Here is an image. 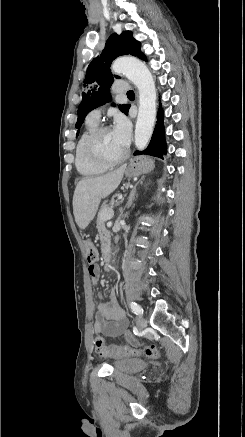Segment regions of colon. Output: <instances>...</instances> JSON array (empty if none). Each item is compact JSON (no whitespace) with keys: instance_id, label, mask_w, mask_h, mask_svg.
<instances>
[{"instance_id":"colon-1","label":"colon","mask_w":245,"mask_h":437,"mask_svg":"<svg viewBox=\"0 0 245 437\" xmlns=\"http://www.w3.org/2000/svg\"><path fill=\"white\" fill-rule=\"evenodd\" d=\"M86 259L89 263V272H93L95 269V263L97 260V250L91 242L86 243ZM95 350L100 355H116L122 357L139 356L144 355L149 358H159L161 351L159 347L155 345H148L144 347L136 346H115L106 345L104 338L101 335H97L94 339Z\"/></svg>"}]
</instances>
